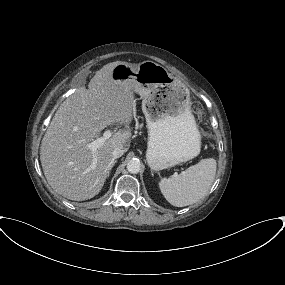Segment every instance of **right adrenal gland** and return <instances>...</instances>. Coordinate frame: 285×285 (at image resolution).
<instances>
[{
    "label": "right adrenal gland",
    "instance_id": "2a0ac1e0",
    "mask_svg": "<svg viewBox=\"0 0 285 285\" xmlns=\"http://www.w3.org/2000/svg\"><path fill=\"white\" fill-rule=\"evenodd\" d=\"M116 162H117L116 160L113 162L112 167L114 166V164H115ZM112 167H111V168H112ZM111 168L108 170L107 177H109V175H110Z\"/></svg>",
    "mask_w": 285,
    "mask_h": 285
}]
</instances>
